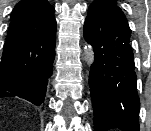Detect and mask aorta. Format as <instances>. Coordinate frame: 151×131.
<instances>
[{"instance_id": "762f6f07", "label": "aorta", "mask_w": 151, "mask_h": 131, "mask_svg": "<svg viewBox=\"0 0 151 131\" xmlns=\"http://www.w3.org/2000/svg\"><path fill=\"white\" fill-rule=\"evenodd\" d=\"M83 59L88 66H91L94 63L95 54H94V51L92 48H90V47L85 48L84 54H83Z\"/></svg>"}]
</instances>
